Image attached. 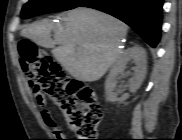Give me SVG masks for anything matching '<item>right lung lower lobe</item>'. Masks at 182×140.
<instances>
[{
  "mask_svg": "<svg viewBox=\"0 0 182 140\" xmlns=\"http://www.w3.org/2000/svg\"><path fill=\"white\" fill-rule=\"evenodd\" d=\"M79 7L117 17L155 48L161 36L163 0H86Z\"/></svg>",
  "mask_w": 182,
  "mask_h": 140,
  "instance_id": "98d812e1",
  "label": "right lung lower lobe"
}]
</instances>
